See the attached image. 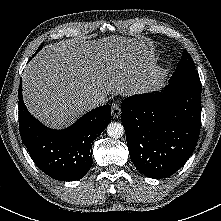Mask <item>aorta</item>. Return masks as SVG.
<instances>
[{
  "instance_id": "aorta-1",
  "label": "aorta",
  "mask_w": 221,
  "mask_h": 221,
  "mask_svg": "<svg viewBox=\"0 0 221 221\" xmlns=\"http://www.w3.org/2000/svg\"><path fill=\"white\" fill-rule=\"evenodd\" d=\"M124 134V128L121 123L111 122L107 126V135L113 139L121 138Z\"/></svg>"
}]
</instances>
